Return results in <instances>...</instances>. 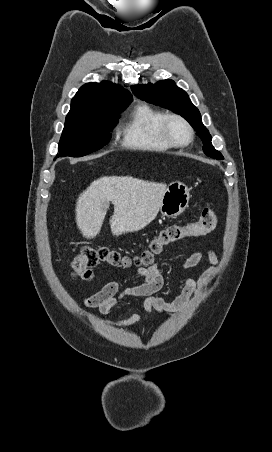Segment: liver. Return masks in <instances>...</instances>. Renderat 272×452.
Returning a JSON list of instances; mask_svg holds the SVG:
<instances>
[{
  "instance_id": "obj_1",
  "label": "liver",
  "mask_w": 272,
  "mask_h": 452,
  "mask_svg": "<svg viewBox=\"0 0 272 452\" xmlns=\"http://www.w3.org/2000/svg\"><path fill=\"white\" fill-rule=\"evenodd\" d=\"M167 189L164 183L140 180L131 176H103L83 191L76 203V223L82 235L96 237L102 227L110 202L113 235L139 231L157 216Z\"/></svg>"
}]
</instances>
